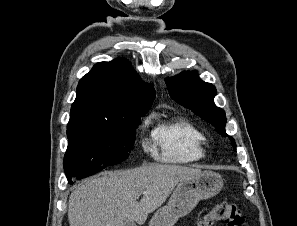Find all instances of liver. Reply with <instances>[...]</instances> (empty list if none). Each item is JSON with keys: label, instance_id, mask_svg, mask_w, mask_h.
I'll use <instances>...</instances> for the list:
<instances>
[{"label": "liver", "instance_id": "1", "mask_svg": "<svg viewBox=\"0 0 297 226\" xmlns=\"http://www.w3.org/2000/svg\"><path fill=\"white\" fill-rule=\"evenodd\" d=\"M200 169L179 165H150L106 171L85 179L69 197L70 226H124L127 220L143 225L175 186L198 177ZM143 197L138 201L140 194Z\"/></svg>", "mask_w": 297, "mask_h": 226}]
</instances>
